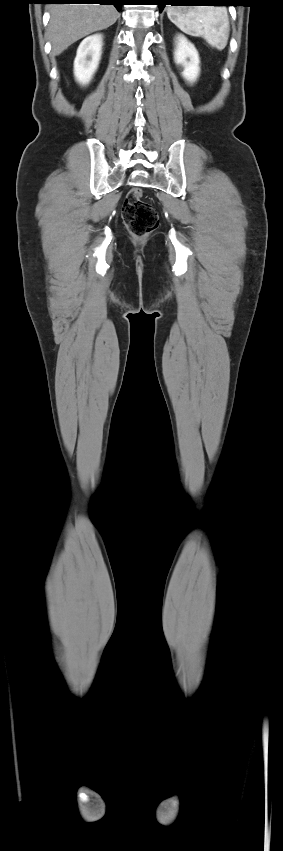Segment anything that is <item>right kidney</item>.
I'll return each instance as SVG.
<instances>
[{"label": "right kidney", "mask_w": 283, "mask_h": 851, "mask_svg": "<svg viewBox=\"0 0 283 851\" xmlns=\"http://www.w3.org/2000/svg\"><path fill=\"white\" fill-rule=\"evenodd\" d=\"M102 41V35L95 34L85 38L77 49L74 60V75L82 85L90 82L98 68L102 53Z\"/></svg>", "instance_id": "ca27d5eb"}]
</instances>
